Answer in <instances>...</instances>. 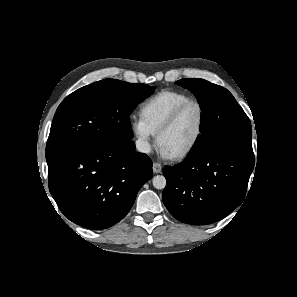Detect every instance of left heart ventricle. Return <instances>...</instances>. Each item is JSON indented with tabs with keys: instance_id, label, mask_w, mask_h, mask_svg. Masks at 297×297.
<instances>
[{
	"instance_id": "obj_1",
	"label": "left heart ventricle",
	"mask_w": 297,
	"mask_h": 297,
	"mask_svg": "<svg viewBox=\"0 0 297 297\" xmlns=\"http://www.w3.org/2000/svg\"><path fill=\"white\" fill-rule=\"evenodd\" d=\"M200 124V112L196 105L187 106L174 126L160 139L159 144L172 155L187 148L194 140Z\"/></svg>"
}]
</instances>
